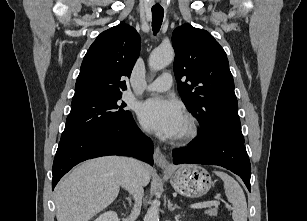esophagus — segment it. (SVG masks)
I'll return each instance as SVG.
<instances>
[{
	"label": "esophagus",
	"instance_id": "obj_1",
	"mask_svg": "<svg viewBox=\"0 0 307 221\" xmlns=\"http://www.w3.org/2000/svg\"><path fill=\"white\" fill-rule=\"evenodd\" d=\"M153 157H154V162L157 166H159L161 168L170 167L169 162L167 161V159L165 158V156L163 155V153L161 152L159 147L155 148Z\"/></svg>",
	"mask_w": 307,
	"mask_h": 221
}]
</instances>
